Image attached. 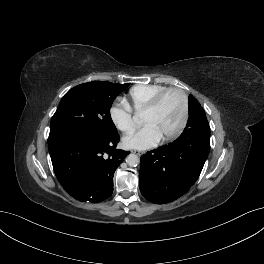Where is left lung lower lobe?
Here are the masks:
<instances>
[{
    "label": "left lung lower lobe",
    "instance_id": "1",
    "mask_svg": "<svg viewBox=\"0 0 264 264\" xmlns=\"http://www.w3.org/2000/svg\"><path fill=\"white\" fill-rule=\"evenodd\" d=\"M210 127L187 128L171 144L141 156L139 187L150 202L163 204L185 194L198 179L210 151Z\"/></svg>",
    "mask_w": 264,
    "mask_h": 264
}]
</instances>
